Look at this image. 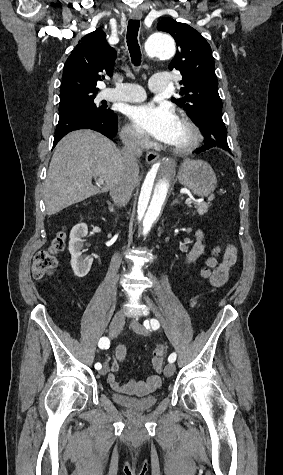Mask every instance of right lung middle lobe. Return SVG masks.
Instances as JSON below:
<instances>
[{
  "instance_id": "dd1d6c3e",
  "label": "right lung middle lobe",
  "mask_w": 283,
  "mask_h": 475,
  "mask_svg": "<svg viewBox=\"0 0 283 475\" xmlns=\"http://www.w3.org/2000/svg\"><path fill=\"white\" fill-rule=\"evenodd\" d=\"M96 93H87L80 91L61 92L59 114L71 110H85L99 118H107L112 115L110 109H106L103 105L97 106L94 102Z\"/></svg>"
}]
</instances>
